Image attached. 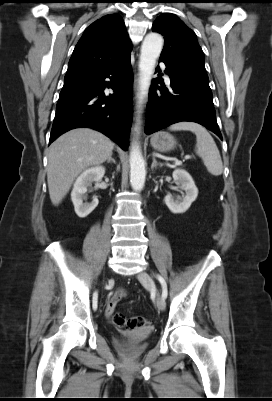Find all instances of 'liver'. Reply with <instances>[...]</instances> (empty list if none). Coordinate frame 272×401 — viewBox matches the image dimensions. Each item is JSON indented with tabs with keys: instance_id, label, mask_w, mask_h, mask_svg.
Listing matches in <instances>:
<instances>
[{
	"instance_id": "1",
	"label": "liver",
	"mask_w": 272,
	"mask_h": 401,
	"mask_svg": "<svg viewBox=\"0 0 272 401\" xmlns=\"http://www.w3.org/2000/svg\"><path fill=\"white\" fill-rule=\"evenodd\" d=\"M114 143L104 134L77 128L61 135L49 148L47 182L52 204L57 206L85 169L112 156Z\"/></svg>"
}]
</instances>
